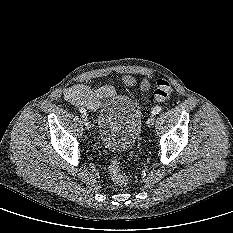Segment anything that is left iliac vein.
Returning a JSON list of instances; mask_svg holds the SVG:
<instances>
[{
    "label": "left iliac vein",
    "instance_id": "left-iliac-vein-1",
    "mask_svg": "<svg viewBox=\"0 0 233 233\" xmlns=\"http://www.w3.org/2000/svg\"><path fill=\"white\" fill-rule=\"evenodd\" d=\"M154 122H155V116H154V115H151V116L149 117V119L147 120V126H148V127H152V125L154 124Z\"/></svg>",
    "mask_w": 233,
    "mask_h": 233
}]
</instances>
